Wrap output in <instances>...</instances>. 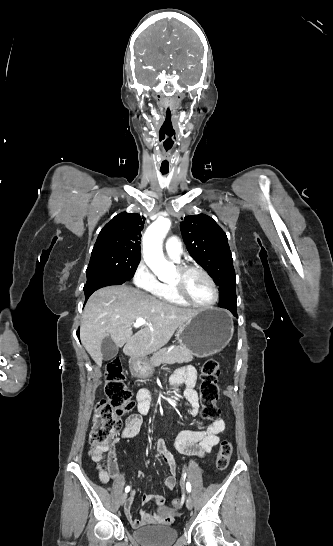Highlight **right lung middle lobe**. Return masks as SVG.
Listing matches in <instances>:
<instances>
[{
  "instance_id": "dd1d6c3e",
  "label": "right lung middle lobe",
  "mask_w": 333,
  "mask_h": 546,
  "mask_svg": "<svg viewBox=\"0 0 333 546\" xmlns=\"http://www.w3.org/2000/svg\"><path fill=\"white\" fill-rule=\"evenodd\" d=\"M138 263V258L126 252L113 250L92 252L86 275L87 278L92 275H106L128 281L135 274Z\"/></svg>"
}]
</instances>
